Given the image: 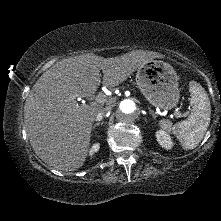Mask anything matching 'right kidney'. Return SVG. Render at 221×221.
Segmentation results:
<instances>
[{
    "instance_id": "right-kidney-1",
    "label": "right kidney",
    "mask_w": 221,
    "mask_h": 221,
    "mask_svg": "<svg viewBox=\"0 0 221 221\" xmlns=\"http://www.w3.org/2000/svg\"><path fill=\"white\" fill-rule=\"evenodd\" d=\"M100 148V144L99 143H95L93 144V146L90 149L89 154L92 156L94 153H96Z\"/></svg>"
}]
</instances>
